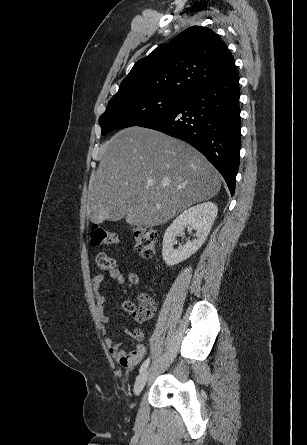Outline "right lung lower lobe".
I'll return each instance as SVG.
<instances>
[{
    "mask_svg": "<svg viewBox=\"0 0 307 445\" xmlns=\"http://www.w3.org/2000/svg\"><path fill=\"white\" fill-rule=\"evenodd\" d=\"M239 75L232 70L200 87L169 112L138 126L188 142L215 166L234 195L240 153Z\"/></svg>",
    "mask_w": 307,
    "mask_h": 445,
    "instance_id": "obj_1",
    "label": "right lung lower lobe"
}]
</instances>
